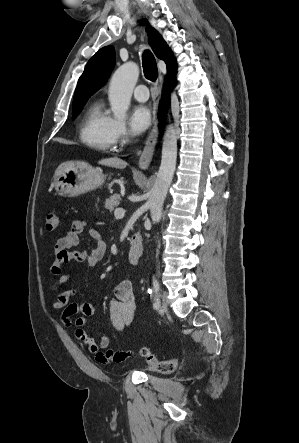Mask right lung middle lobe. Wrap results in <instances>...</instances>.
<instances>
[{
    "mask_svg": "<svg viewBox=\"0 0 299 443\" xmlns=\"http://www.w3.org/2000/svg\"><path fill=\"white\" fill-rule=\"evenodd\" d=\"M86 102L81 103L79 105L73 106V116L76 117V115L81 111L82 107L84 106Z\"/></svg>",
    "mask_w": 299,
    "mask_h": 443,
    "instance_id": "dd1d6c3e",
    "label": "right lung middle lobe"
}]
</instances>
